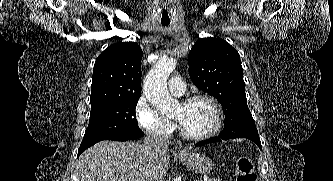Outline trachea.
I'll use <instances>...</instances> for the list:
<instances>
[{"label": "trachea", "instance_id": "3493384b", "mask_svg": "<svg viewBox=\"0 0 333 181\" xmlns=\"http://www.w3.org/2000/svg\"><path fill=\"white\" fill-rule=\"evenodd\" d=\"M169 23H170V21H161V24H162L163 26H167Z\"/></svg>", "mask_w": 333, "mask_h": 181}]
</instances>
